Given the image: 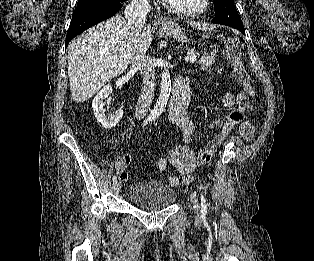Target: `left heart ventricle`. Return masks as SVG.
<instances>
[{
  "instance_id": "obj_1",
  "label": "left heart ventricle",
  "mask_w": 314,
  "mask_h": 261,
  "mask_svg": "<svg viewBox=\"0 0 314 261\" xmlns=\"http://www.w3.org/2000/svg\"><path fill=\"white\" fill-rule=\"evenodd\" d=\"M174 6L185 9L194 10L201 7L203 0H168Z\"/></svg>"
}]
</instances>
